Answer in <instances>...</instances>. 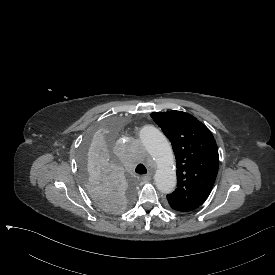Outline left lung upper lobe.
Listing matches in <instances>:
<instances>
[{
  "label": "left lung upper lobe",
  "mask_w": 275,
  "mask_h": 275,
  "mask_svg": "<svg viewBox=\"0 0 275 275\" xmlns=\"http://www.w3.org/2000/svg\"><path fill=\"white\" fill-rule=\"evenodd\" d=\"M151 117L170 140L176 157L177 188L167 195L171 208L188 212L208 198L214 185L219 156L210 130L181 111L154 112Z\"/></svg>",
  "instance_id": "left-lung-upper-lobe-1"
}]
</instances>
